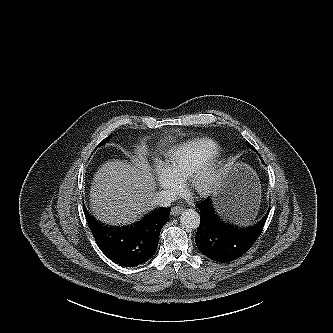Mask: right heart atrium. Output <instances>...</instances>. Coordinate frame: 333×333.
<instances>
[{
	"instance_id": "right-heart-atrium-1",
	"label": "right heart atrium",
	"mask_w": 333,
	"mask_h": 333,
	"mask_svg": "<svg viewBox=\"0 0 333 333\" xmlns=\"http://www.w3.org/2000/svg\"><path fill=\"white\" fill-rule=\"evenodd\" d=\"M154 170L158 183L164 191L170 194H174L179 191L181 181L168 169L166 165L157 162Z\"/></svg>"
}]
</instances>
